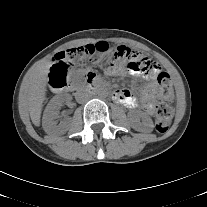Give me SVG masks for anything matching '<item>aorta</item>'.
Returning <instances> with one entry per match:
<instances>
[{"label":"aorta","instance_id":"aorta-1","mask_svg":"<svg viewBox=\"0 0 207 207\" xmlns=\"http://www.w3.org/2000/svg\"><path fill=\"white\" fill-rule=\"evenodd\" d=\"M100 98H106L108 96V91L104 88H101L98 92Z\"/></svg>","mask_w":207,"mask_h":207}]
</instances>
